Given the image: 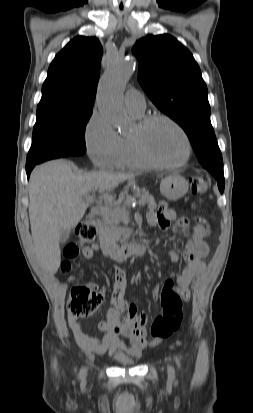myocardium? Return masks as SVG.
<instances>
[{
  "label": "myocardium",
  "mask_w": 253,
  "mask_h": 413,
  "mask_svg": "<svg viewBox=\"0 0 253 413\" xmlns=\"http://www.w3.org/2000/svg\"><path fill=\"white\" fill-rule=\"evenodd\" d=\"M158 121H165L169 123L181 134L184 140V143H185V155L179 162L171 163V164L162 163V162L155 160L149 154L146 148V145H145L144 136H145L146 131L154 123ZM133 141H134L136 150L139 156L141 157V159L150 167L157 168V169L169 170V169H176V168L182 167L189 161L191 152H192V145H191V141H190V138L187 132L177 121H175L173 118L167 115H164V114H153V115H149V116L142 118L138 123L137 132L133 136Z\"/></svg>",
  "instance_id": "myocardium-1"
}]
</instances>
